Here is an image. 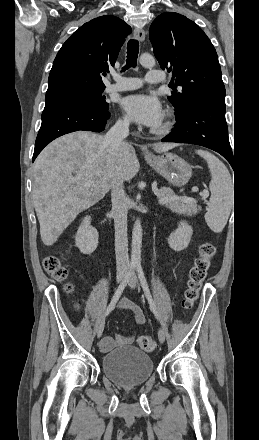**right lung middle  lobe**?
Wrapping results in <instances>:
<instances>
[{
    "label": "right lung middle lobe",
    "instance_id": "1",
    "mask_svg": "<svg viewBox=\"0 0 259 440\" xmlns=\"http://www.w3.org/2000/svg\"><path fill=\"white\" fill-rule=\"evenodd\" d=\"M104 88L75 87L50 94H46V105L60 102H83L100 109L108 110V103L102 96Z\"/></svg>",
    "mask_w": 259,
    "mask_h": 440
}]
</instances>
